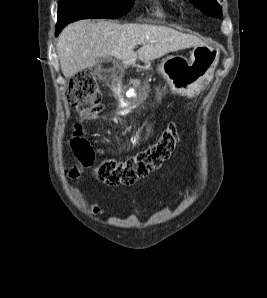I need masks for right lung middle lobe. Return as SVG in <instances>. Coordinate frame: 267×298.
<instances>
[{"instance_id": "dd1d6c3e", "label": "right lung middle lobe", "mask_w": 267, "mask_h": 298, "mask_svg": "<svg viewBox=\"0 0 267 298\" xmlns=\"http://www.w3.org/2000/svg\"><path fill=\"white\" fill-rule=\"evenodd\" d=\"M135 0H60L57 25L66 26L86 18H118L126 14Z\"/></svg>"}]
</instances>
